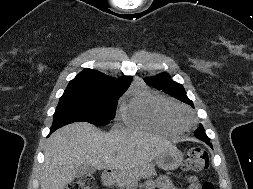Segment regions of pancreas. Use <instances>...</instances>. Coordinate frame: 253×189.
I'll return each mask as SVG.
<instances>
[{
  "label": "pancreas",
  "instance_id": "1",
  "mask_svg": "<svg viewBox=\"0 0 253 189\" xmlns=\"http://www.w3.org/2000/svg\"><path fill=\"white\" fill-rule=\"evenodd\" d=\"M155 175L153 165H145L137 168H128L119 171L115 176L116 185L119 189H128L130 185L140 178H149Z\"/></svg>",
  "mask_w": 253,
  "mask_h": 189
}]
</instances>
